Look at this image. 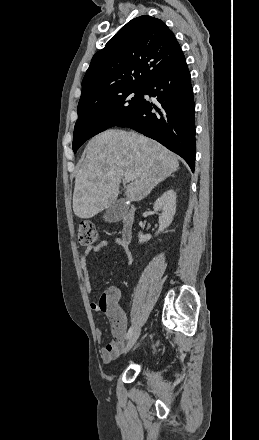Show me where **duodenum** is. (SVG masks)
<instances>
[{"label":"duodenum","instance_id":"410a0bca","mask_svg":"<svg viewBox=\"0 0 259 440\" xmlns=\"http://www.w3.org/2000/svg\"><path fill=\"white\" fill-rule=\"evenodd\" d=\"M134 220H135V208L128 207L122 218V230H121V238L125 243H130L133 236L134 230Z\"/></svg>","mask_w":259,"mask_h":440}]
</instances>
